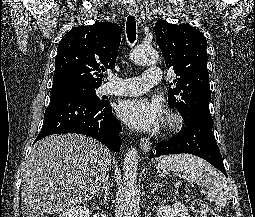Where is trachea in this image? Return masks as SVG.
Segmentation results:
<instances>
[{"mask_svg": "<svg viewBox=\"0 0 255 217\" xmlns=\"http://www.w3.org/2000/svg\"><path fill=\"white\" fill-rule=\"evenodd\" d=\"M126 32L130 43H133L136 39V20L133 15L127 17Z\"/></svg>", "mask_w": 255, "mask_h": 217, "instance_id": "trachea-1", "label": "trachea"}]
</instances>
